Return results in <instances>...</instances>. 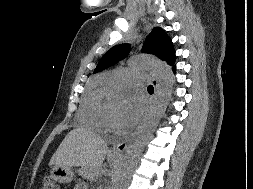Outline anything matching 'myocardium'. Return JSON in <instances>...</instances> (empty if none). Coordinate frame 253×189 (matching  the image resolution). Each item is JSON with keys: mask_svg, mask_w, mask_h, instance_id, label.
<instances>
[{"mask_svg": "<svg viewBox=\"0 0 253 189\" xmlns=\"http://www.w3.org/2000/svg\"><path fill=\"white\" fill-rule=\"evenodd\" d=\"M109 128L113 131L119 130V125H118L117 119L115 118V116L113 115L112 112H110V114H109Z\"/></svg>", "mask_w": 253, "mask_h": 189, "instance_id": "myocardium-1", "label": "myocardium"}]
</instances>
